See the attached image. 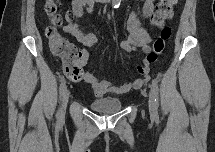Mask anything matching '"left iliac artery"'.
<instances>
[{"mask_svg":"<svg viewBox=\"0 0 215 152\" xmlns=\"http://www.w3.org/2000/svg\"><path fill=\"white\" fill-rule=\"evenodd\" d=\"M152 88H153L154 97H155V107H156V114H157V110L159 106V88H158L157 81L152 80Z\"/></svg>","mask_w":215,"mask_h":152,"instance_id":"obj_1","label":"left iliac artery"}]
</instances>
